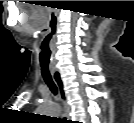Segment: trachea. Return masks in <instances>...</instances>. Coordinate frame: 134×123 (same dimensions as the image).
<instances>
[{"mask_svg":"<svg viewBox=\"0 0 134 123\" xmlns=\"http://www.w3.org/2000/svg\"><path fill=\"white\" fill-rule=\"evenodd\" d=\"M45 50L46 49L43 48L42 51L40 52V58H42V56L48 55V53ZM40 65H41V72H42L43 79L45 80V82L48 85L51 92L54 95H57L58 88H57L56 84L54 83L52 76L50 74L49 65L46 63H43L42 61L40 62Z\"/></svg>","mask_w":134,"mask_h":123,"instance_id":"3493384b","label":"trachea"}]
</instances>
